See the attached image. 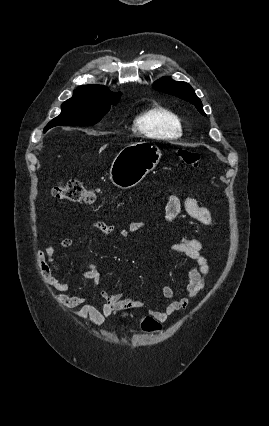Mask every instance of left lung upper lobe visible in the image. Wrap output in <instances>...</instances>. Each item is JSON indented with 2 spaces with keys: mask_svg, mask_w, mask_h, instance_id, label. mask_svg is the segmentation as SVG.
I'll return each instance as SVG.
<instances>
[{
  "mask_svg": "<svg viewBox=\"0 0 269 426\" xmlns=\"http://www.w3.org/2000/svg\"><path fill=\"white\" fill-rule=\"evenodd\" d=\"M153 87L161 92L175 95L185 101H188L196 106L198 111L206 116L202 109L201 100L196 96L192 87L186 82H176L169 77L159 79L153 84Z\"/></svg>",
  "mask_w": 269,
  "mask_h": 426,
  "instance_id": "5c2ea615",
  "label": "left lung upper lobe"
}]
</instances>
